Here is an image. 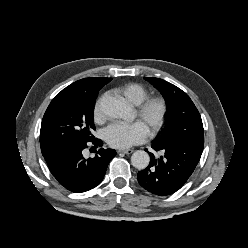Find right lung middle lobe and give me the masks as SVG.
Masks as SVG:
<instances>
[{"label":"right lung middle lobe","mask_w":248,"mask_h":248,"mask_svg":"<svg viewBox=\"0 0 248 248\" xmlns=\"http://www.w3.org/2000/svg\"><path fill=\"white\" fill-rule=\"evenodd\" d=\"M98 94L91 97L78 94H58L49 104L41 124V151L73 141H90L94 105Z\"/></svg>","instance_id":"obj_1"}]
</instances>
